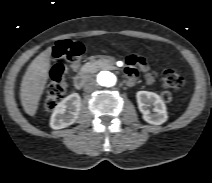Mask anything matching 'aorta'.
I'll list each match as a JSON object with an SVG mask.
<instances>
[{"instance_id":"aorta-1","label":"aorta","mask_w":212,"mask_h":183,"mask_svg":"<svg viewBox=\"0 0 212 183\" xmlns=\"http://www.w3.org/2000/svg\"><path fill=\"white\" fill-rule=\"evenodd\" d=\"M116 76L108 71H103L97 75V82L103 88H111L116 84Z\"/></svg>"}]
</instances>
